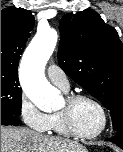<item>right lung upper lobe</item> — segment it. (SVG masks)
Segmentation results:
<instances>
[{
  "instance_id": "right-lung-upper-lobe-1",
  "label": "right lung upper lobe",
  "mask_w": 123,
  "mask_h": 152,
  "mask_svg": "<svg viewBox=\"0 0 123 152\" xmlns=\"http://www.w3.org/2000/svg\"><path fill=\"white\" fill-rule=\"evenodd\" d=\"M34 23L29 10L11 6L1 11V71L17 72Z\"/></svg>"
}]
</instances>
